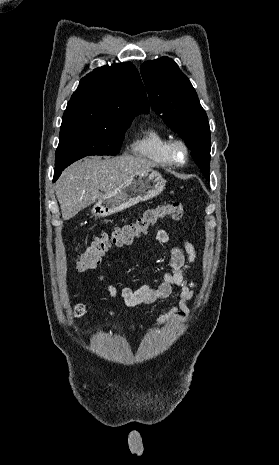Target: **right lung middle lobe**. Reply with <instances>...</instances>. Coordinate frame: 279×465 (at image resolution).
I'll list each match as a JSON object with an SVG mask.
<instances>
[{
  "label": "right lung middle lobe",
  "mask_w": 279,
  "mask_h": 465,
  "mask_svg": "<svg viewBox=\"0 0 279 465\" xmlns=\"http://www.w3.org/2000/svg\"><path fill=\"white\" fill-rule=\"evenodd\" d=\"M134 115L117 114L102 125L61 128L55 168H66L88 155H116Z\"/></svg>",
  "instance_id": "obj_1"
}]
</instances>
